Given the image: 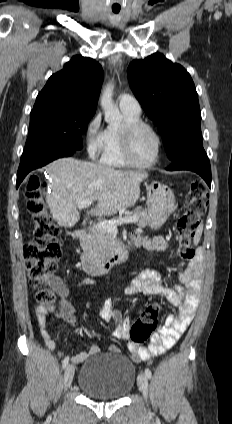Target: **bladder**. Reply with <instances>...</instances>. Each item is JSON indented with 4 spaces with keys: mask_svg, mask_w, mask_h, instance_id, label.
<instances>
[{
    "mask_svg": "<svg viewBox=\"0 0 232 424\" xmlns=\"http://www.w3.org/2000/svg\"><path fill=\"white\" fill-rule=\"evenodd\" d=\"M136 381L135 366L122 354L100 353L81 367L78 387L96 399H122Z\"/></svg>",
    "mask_w": 232,
    "mask_h": 424,
    "instance_id": "31cf9c89",
    "label": "bladder"
}]
</instances>
